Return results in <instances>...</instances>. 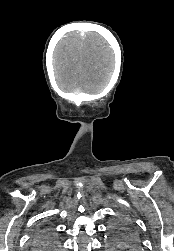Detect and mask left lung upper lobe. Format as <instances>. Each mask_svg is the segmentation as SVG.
<instances>
[{
	"label": "left lung upper lobe",
	"mask_w": 174,
	"mask_h": 251,
	"mask_svg": "<svg viewBox=\"0 0 174 251\" xmlns=\"http://www.w3.org/2000/svg\"><path fill=\"white\" fill-rule=\"evenodd\" d=\"M138 236L131 221L125 216L118 218L112 226L111 245L125 246V244H136Z\"/></svg>",
	"instance_id": "5c2ea615"
}]
</instances>
